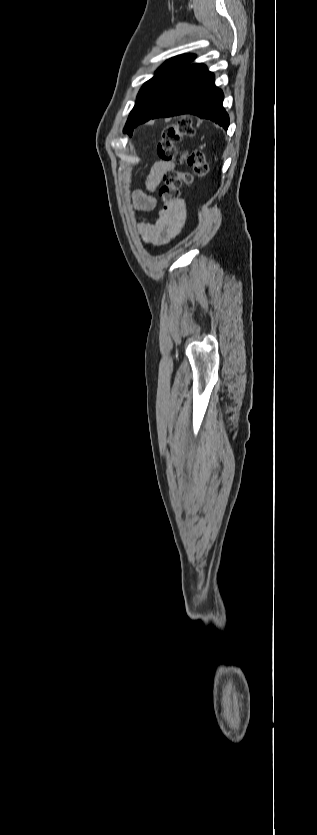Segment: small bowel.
<instances>
[{
  "instance_id": "c3829d8e",
  "label": "small bowel",
  "mask_w": 317,
  "mask_h": 835,
  "mask_svg": "<svg viewBox=\"0 0 317 835\" xmlns=\"http://www.w3.org/2000/svg\"><path fill=\"white\" fill-rule=\"evenodd\" d=\"M175 166L173 160H160L151 167L146 178L145 190L134 189L131 193V200L135 209L142 212H151L155 209L156 199L152 193L162 181L164 174L174 170ZM185 217L182 204L168 210H161L155 222L139 225L143 240L156 247L170 243L180 233L185 223Z\"/></svg>"
}]
</instances>
